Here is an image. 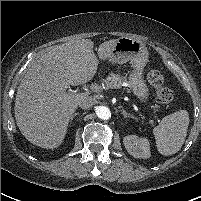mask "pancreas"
<instances>
[{
  "label": "pancreas",
  "mask_w": 201,
  "mask_h": 201,
  "mask_svg": "<svg viewBox=\"0 0 201 201\" xmlns=\"http://www.w3.org/2000/svg\"><path fill=\"white\" fill-rule=\"evenodd\" d=\"M124 78L120 77L119 74H114L111 73L105 80H104V84L106 86V89H117L120 88L122 83H125L127 85L126 82H124ZM128 92L129 89H127Z\"/></svg>",
  "instance_id": "1"
}]
</instances>
